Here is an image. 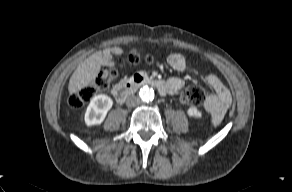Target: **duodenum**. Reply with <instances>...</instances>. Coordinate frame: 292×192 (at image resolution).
I'll use <instances>...</instances> for the list:
<instances>
[{
    "instance_id": "410a0bca",
    "label": "duodenum",
    "mask_w": 292,
    "mask_h": 192,
    "mask_svg": "<svg viewBox=\"0 0 292 192\" xmlns=\"http://www.w3.org/2000/svg\"><path fill=\"white\" fill-rule=\"evenodd\" d=\"M144 85L152 86L162 94L167 92V85L163 80L151 78L143 74H136L118 84L114 88L113 93L118 102H124L139 87Z\"/></svg>"
}]
</instances>
